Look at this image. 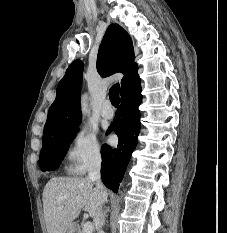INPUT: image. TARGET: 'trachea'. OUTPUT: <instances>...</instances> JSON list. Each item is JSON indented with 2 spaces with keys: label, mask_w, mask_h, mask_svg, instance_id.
<instances>
[{
  "label": "trachea",
  "mask_w": 227,
  "mask_h": 233,
  "mask_svg": "<svg viewBox=\"0 0 227 233\" xmlns=\"http://www.w3.org/2000/svg\"><path fill=\"white\" fill-rule=\"evenodd\" d=\"M109 97L113 105L119 104V84H115L109 90Z\"/></svg>",
  "instance_id": "1"
}]
</instances>
